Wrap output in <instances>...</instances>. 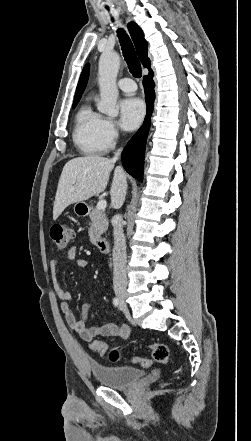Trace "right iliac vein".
I'll return each instance as SVG.
<instances>
[{
  "label": "right iliac vein",
  "instance_id": "1",
  "mask_svg": "<svg viewBox=\"0 0 251 441\" xmlns=\"http://www.w3.org/2000/svg\"><path fill=\"white\" fill-rule=\"evenodd\" d=\"M118 299L120 300L121 304L125 305V294L118 293L117 294Z\"/></svg>",
  "mask_w": 251,
  "mask_h": 441
}]
</instances>
